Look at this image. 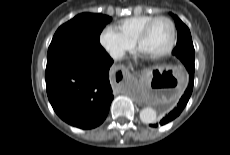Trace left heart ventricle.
I'll use <instances>...</instances> for the list:
<instances>
[{
	"instance_id": "b2bd125f",
	"label": "left heart ventricle",
	"mask_w": 230,
	"mask_h": 155,
	"mask_svg": "<svg viewBox=\"0 0 230 155\" xmlns=\"http://www.w3.org/2000/svg\"><path fill=\"white\" fill-rule=\"evenodd\" d=\"M171 38L172 29L170 24L165 20H159L150 28L140 44V49L145 54L159 53L169 46Z\"/></svg>"
}]
</instances>
